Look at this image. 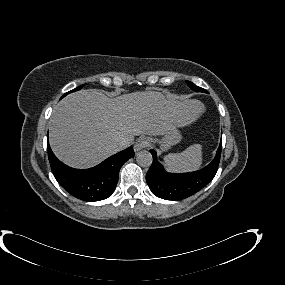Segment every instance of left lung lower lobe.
<instances>
[{
	"label": "left lung lower lobe",
	"mask_w": 285,
	"mask_h": 285,
	"mask_svg": "<svg viewBox=\"0 0 285 285\" xmlns=\"http://www.w3.org/2000/svg\"><path fill=\"white\" fill-rule=\"evenodd\" d=\"M222 143L216 157L205 168L189 173H168L156 158V152L150 150L153 163L146 174V181L152 193L166 200H182L204 188L215 176L220 162Z\"/></svg>",
	"instance_id": "0a47b994"
}]
</instances>
